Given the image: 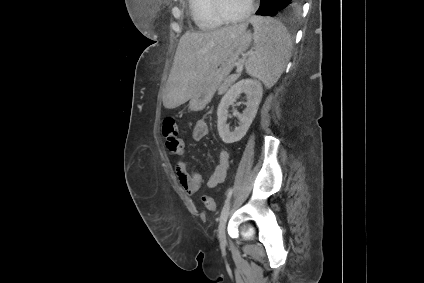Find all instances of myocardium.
<instances>
[{
    "label": "myocardium",
    "mask_w": 424,
    "mask_h": 283,
    "mask_svg": "<svg viewBox=\"0 0 424 283\" xmlns=\"http://www.w3.org/2000/svg\"><path fill=\"white\" fill-rule=\"evenodd\" d=\"M257 0H250L248 9L239 16L228 15L223 8L222 0H212V10L215 16L223 23H239L246 21L255 11Z\"/></svg>",
    "instance_id": "obj_1"
}]
</instances>
